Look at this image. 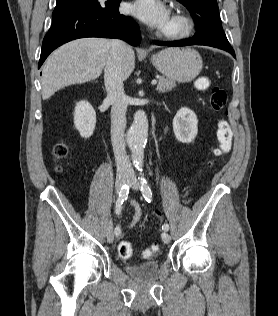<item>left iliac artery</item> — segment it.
<instances>
[{"label":"left iliac artery","mask_w":278,"mask_h":316,"mask_svg":"<svg viewBox=\"0 0 278 316\" xmlns=\"http://www.w3.org/2000/svg\"><path fill=\"white\" fill-rule=\"evenodd\" d=\"M140 171V184H141V192L143 197L145 198V200L150 203L152 200V191L151 188L147 182V180L144 178V176H142V169H138ZM162 229L164 231H168L169 230V225L167 223H164L162 225Z\"/></svg>","instance_id":"left-iliac-artery-1"}]
</instances>
